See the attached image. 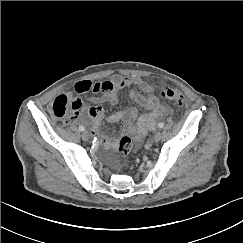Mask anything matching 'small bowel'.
I'll return each mask as SVG.
<instances>
[{
  "label": "small bowel",
  "mask_w": 243,
  "mask_h": 243,
  "mask_svg": "<svg viewBox=\"0 0 243 243\" xmlns=\"http://www.w3.org/2000/svg\"><path fill=\"white\" fill-rule=\"evenodd\" d=\"M129 86L136 88L130 92L131 100L144 109L145 112L139 115L138 108L133 106L115 112L106 118L101 104L106 102L116 104L119 91ZM74 89L77 94L92 93L90 98L92 106L85 107L81 98L73 94H60L54 102L64 101L65 104L70 106L69 121L78 119L83 122L90 121L91 132L97 135L100 144L107 148H115L117 141L102 132L101 128L104 122L114 124L121 121L123 131L138 142L146 136L148 131L155 128L158 118L164 117L171 112V109L163 105L158 97L153 94L155 86L138 76L124 77L115 75L110 79L97 82L82 80L75 84ZM142 92L148 95H144Z\"/></svg>",
  "instance_id": "small-bowel-1"
}]
</instances>
